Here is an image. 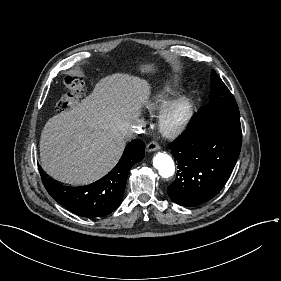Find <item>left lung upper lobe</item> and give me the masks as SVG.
Returning <instances> with one entry per match:
<instances>
[{
    "label": "left lung upper lobe",
    "instance_id": "obj_1",
    "mask_svg": "<svg viewBox=\"0 0 281 281\" xmlns=\"http://www.w3.org/2000/svg\"><path fill=\"white\" fill-rule=\"evenodd\" d=\"M210 88L209 103L199 110L197 117L214 115L239 116V109L233 95L214 70L211 73Z\"/></svg>",
    "mask_w": 281,
    "mask_h": 281
}]
</instances>
